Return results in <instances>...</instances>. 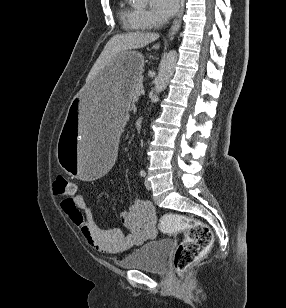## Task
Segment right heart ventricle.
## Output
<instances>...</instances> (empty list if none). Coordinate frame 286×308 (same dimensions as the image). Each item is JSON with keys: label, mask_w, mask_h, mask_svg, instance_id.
Wrapping results in <instances>:
<instances>
[{"label": "right heart ventricle", "mask_w": 286, "mask_h": 308, "mask_svg": "<svg viewBox=\"0 0 286 308\" xmlns=\"http://www.w3.org/2000/svg\"><path fill=\"white\" fill-rule=\"evenodd\" d=\"M118 13L125 30L140 32L148 28L142 22L141 10L129 6L125 0L121 2Z\"/></svg>", "instance_id": "e07e8e85"}]
</instances>
